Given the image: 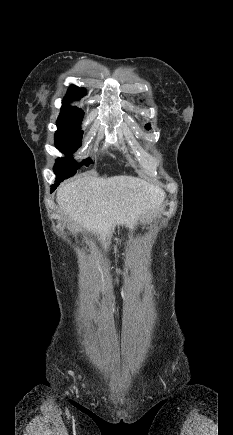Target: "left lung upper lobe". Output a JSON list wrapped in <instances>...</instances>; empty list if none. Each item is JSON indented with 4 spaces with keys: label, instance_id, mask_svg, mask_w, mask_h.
I'll return each instance as SVG.
<instances>
[{
    "label": "left lung upper lobe",
    "instance_id": "5c2ea615",
    "mask_svg": "<svg viewBox=\"0 0 233 435\" xmlns=\"http://www.w3.org/2000/svg\"><path fill=\"white\" fill-rule=\"evenodd\" d=\"M145 127H146L148 130L151 128V127H150V124H147Z\"/></svg>",
    "mask_w": 233,
    "mask_h": 435
}]
</instances>
